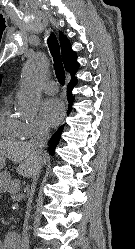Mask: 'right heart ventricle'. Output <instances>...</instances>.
<instances>
[{
    "label": "right heart ventricle",
    "mask_w": 135,
    "mask_h": 249,
    "mask_svg": "<svg viewBox=\"0 0 135 249\" xmlns=\"http://www.w3.org/2000/svg\"><path fill=\"white\" fill-rule=\"evenodd\" d=\"M23 122L13 113L11 100L6 99L0 107V138L15 141L23 137Z\"/></svg>",
    "instance_id": "obj_1"
}]
</instances>
